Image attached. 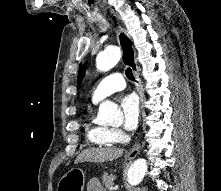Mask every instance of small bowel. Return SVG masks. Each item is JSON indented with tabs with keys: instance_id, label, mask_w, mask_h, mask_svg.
<instances>
[{
	"instance_id": "obj_1",
	"label": "small bowel",
	"mask_w": 221,
	"mask_h": 191,
	"mask_svg": "<svg viewBox=\"0 0 221 191\" xmlns=\"http://www.w3.org/2000/svg\"><path fill=\"white\" fill-rule=\"evenodd\" d=\"M87 191H105L97 178H92L87 183Z\"/></svg>"
}]
</instances>
